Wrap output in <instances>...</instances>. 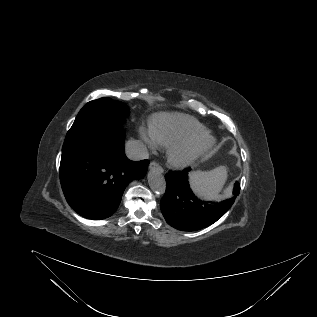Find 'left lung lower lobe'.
I'll list each match as a JSON object with an SVG mask.
<instances>
[{
	"label": "left lung lower lobe",
	"mask_w": 317,
	"mask_h": 317,
	"mask_svg": "<svg viewBox=\"0 0 317 317\" xmlns=\"http://www.w3.org/2000/svg\"><path fill=\"white\" fill-rule=\"evenodd\" d=\"M187 168L166 175V193L160 206L163 216L172 227L183 231H194L208 227L219 220L232 206L239 194L240 185L235 183L234 197L214 204L194 196L188 184Z\"/></svg>",
	"instance_id": "obj_1"
}]
</instances>
